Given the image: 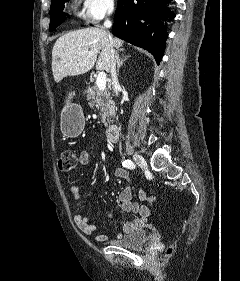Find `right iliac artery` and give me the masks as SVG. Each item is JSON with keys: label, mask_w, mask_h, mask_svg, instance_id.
<instances>
[{"label": "right iliac artery", "mask_w": 240, "mask_h": 281, "mask_svg": "<svg viewBox=\"0 0 240 281\" xmlns=\"http://www.w3.org/2000/svg\"><path fill=\"white\" fill-rule=\"evenodd\" d=\"M122 166L128 169H134L135 168V164L131 161V160H124L122 162Z\"/></svg>", "instance_id": "82829eb1"}]
</instances>
